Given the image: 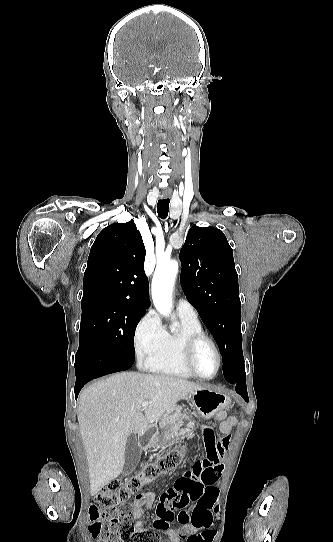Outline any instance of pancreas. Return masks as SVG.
<instances>
[{"label": "pancreas", "mask_w": 333, "mask_h": 542, "mask_svg": "<svg viewBox=\"0 0 333 542\" xmlns=\"http://www.w3.org/2000/svg\"><path fill=\"white\" fill-rule=\"evenodd\" d=\"M184 416H186V414H183L182 406H175V408H170V410H167L166 414H163L159 426L161 430H165V428H170V426H174V424L180 422Z\"/></svg>", "instance_id": "pancreas-1"}]
</instances>
